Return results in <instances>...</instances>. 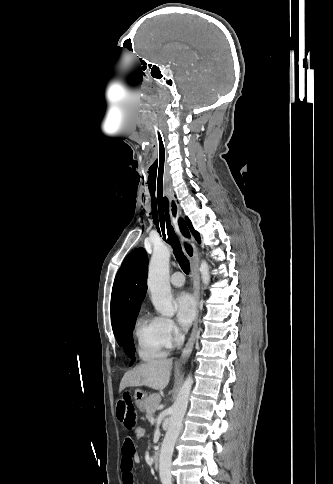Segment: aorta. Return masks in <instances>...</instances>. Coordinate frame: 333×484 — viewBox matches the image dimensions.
I'll use <instances>...</instances> for the list:
<instances>
[{
    "label": "aorta",
    "instance_id": "obj_1",
    "mask_svg": "<svg viewBox=\"0 0 333 484\" xmlns=\"http://www.w3.org/2000/svg\"><path fill=\"white\" fill-rule=\"evenodd\" d=\"M171 249L161 245L154 249L148 269L147 286L151 293L152 303L157 312L163 316H173L175 309L169 282V261ZM203 283L210 282L209 266L206 261L200 264ZM193 379L188 376L179 390L176 401L171 408L169 427L164 437L159 456V475L162 484H172L171 465L175 442L182 430V421L187 410Z\"/></svg>",
    "mask_w": 333,
    "mask_h": 484
}]
</instances>
